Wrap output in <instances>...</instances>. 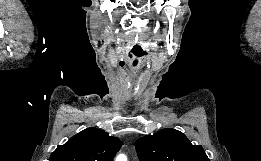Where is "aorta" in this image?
<instances>
[{"mask_svg": "<svg viewBox=\"0 0 261 161\" xmlns=\"http://www.w3.org/2000/svg\"><path fill=\"white\" fill-rule=\"evenodd\" d=\"M115 161H127V157L124 154H119Z\"/></svg>", "mask_w": 261, "mask_h": 161, "instance_id": "762f6f07", "label": "aorta"}]
</instances>
